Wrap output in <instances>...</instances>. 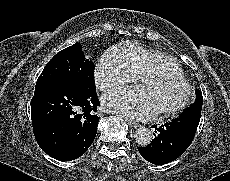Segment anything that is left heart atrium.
<instances>
[{
	"instance_id": "left-heart-atrium-1",
	"label": "left heart atrium",
	"mask_w": 230,
	"mask_h": 181,
	"mask_svg": "<svg viewBox=\"0 0 230 181\" xmlns=\"http://www.w3.org/2000/svg\"><path fill=\"white\" fill-rule=\"evenodd\" d=\"M141 88L131 87L108 93L104 106L111 112L134 120H146L155 116L156 110L141 94Z\"/></svg>"
}]
</instances>
